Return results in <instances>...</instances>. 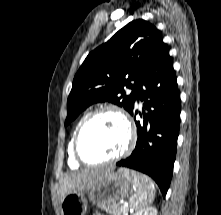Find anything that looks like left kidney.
I'll return each mask as SVG.
<instances>
[{
    "mask_svg": "<svg viewBox=\"0 0 221 215\" xmlns=\"http://www.w3.org/2000/svg\"><path fill=\"white\" fill-rule=\"evenodd\" d=\"M133 215H157V209L154 207H148L143 210L138 211Z\"/></svg>",
    "mask_w": 221,
    "mask_h": 215,
    "instance_id": "5707ae66",
    "label": "left kidney"
}]
</instances>
